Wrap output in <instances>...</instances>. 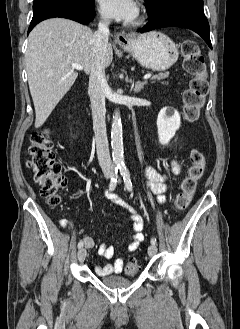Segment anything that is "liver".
Listing matches in <instances>:
<instances>
[{
  "instance_id": "obj_1",
  "label": "liver",
  "mask_w": 240,
  "mask_h": 329,
  "mask_svg": "<svg viewBox=\"0 0 240 329\" xmlns=\"http://www.w3.org/2000/svg\"><path fill=\"white\" fill-rule=\"evenodd\" d=\"M90 28L71 20L54 18L39 23L29 34L25 55L28 84L34 103L35 128L41 127L74 84L78 73L71 64L90 72L92 63ZM113 59L110 43L105 67Z\"/></svg>"
}]
</instances>
